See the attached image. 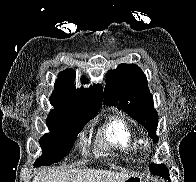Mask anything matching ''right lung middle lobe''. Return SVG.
Masks as SVG:
<instances>
[{"label":"right lung middle lobe","instance_id":"right-lung-middle-lobe-1","mask_svg":"<svg viewBox=\"0 0 196 182\" xmlns=\"http://www.w3.org/2000/svg\"><path fill=\"white\" fill-rule=\"evenodd\" d=\"M97 114L79 116L64 112H50L46 121L50 133L40 139L43 154L36 159L34 166H48L68 155L78 133Z\"/></svg>","mask_w":196,"mask_h":182}]
</instances>
